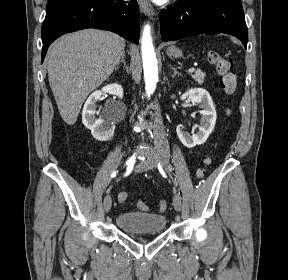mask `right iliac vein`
Here are the masks:
<instances>
[{
  "mask_svg": "<svg viewBox=\"0 0 288 280\" xmlns=\"http://www.w3.org/2000/svg\"><path fill=\"white\" fill-rule=\"evenodd\" d=\"M112 206V198L109 193H107L104 197L103 207L106 213H108Z\"/></svg>",
  "mask_w": 288,
  "mask_h": 280,
  "instance_id": "right-iliac-vein-1",
  "label": "right iliac vein"
}]
</instances>
